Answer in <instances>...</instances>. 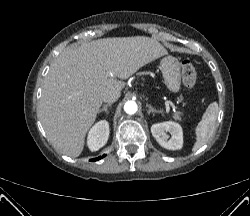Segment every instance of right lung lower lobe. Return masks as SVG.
I'll use <instances>...</instances> for the list:
<instances>
[{
	"label": "right lung lower lobe",
	"mask_w": 250,
	"mask_h": 216,
	"mask_svg": "<svg viewBox=\"0 0 250 216\" xmlns=\"http://www.w3.org/2000/svg\"><path fill=\"white\" fill-rule=\"evenodd\" d=\"M103 157H105V155H103V156H100V157H98V158H95V159H92L91 161H97V160H100L101 158H103Z\"/></svg>",
	"instance_id": "right-lung-lower-lobe-1"
}]
</instances>
